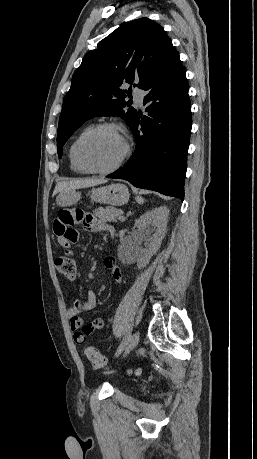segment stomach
I'll return each mask as SVG.
<instances>
[{
    "instance_id": "stomach-1",
    "label": "stomach",
    "mask_w": 257,
    "mask_h": 459,
    "mask_svg": "<svg viewBox=\"0 0 257 459\" xmlns=\"http://www.w3.org/2000/svg\"><path fill=\"white\" fill-rule=\"evenodd\" d=\"M81 198V193L76 190H68L60 193L56 198L58 206L73 205ZM91 199L97 203L120 206L128 202L129 191L124 184H111L109 186L92 189Z\"/></svg>"
}]
</instances>
